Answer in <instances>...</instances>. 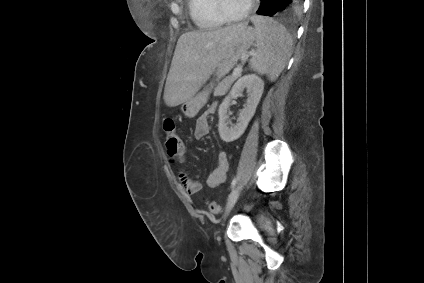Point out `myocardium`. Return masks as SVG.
I'll use <instances>...</instances> for the list:
<instances>
[{
    "label": "myocardium",
    "mask_w": 424,
    "mask_h": 283,
    "mask_svg": "<svg viewBox=\"0 0 424 283\" xmlns=\"http://www.w3.org/2000/svg\"><path fill=\"white\" fill-rule=\"evenodd\" d=\"M256 3L257 0H250L248 7L246 8V10L240 14H231L225 4H224V0H215V7L216 10L218 12V14L220 15V17L226 21V22H242L244 20H246L251 13L254 11L255 7H256Z\"/></svg>",
    "instance_id": "myocardium-1"
}]
</instances>
